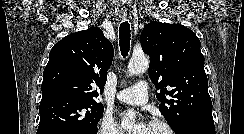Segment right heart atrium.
Segmentation results:
<instances>
[{"label": "right heart atrium", "mask_w": 244, "mask_h": 134, "mask_svg": "<svg viewBox=\"0 0 244 134\" xmlns=\"http://www.w3.org/2000/svg\"><path fill=\"white\" fill-rule=\"evenodd\" d=\"M97 134H123L110 115H103L97 127Z\"/></svg>", "instance_id": "1"}]
</instances>
